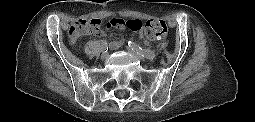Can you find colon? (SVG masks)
<instances>
[{
    "label": "colon",
    "mask_w": 255,
    "mask_h": 122,
    "mask_svg": "<svg viewBox=\"0 0 255 122\" xmlns=\"http://www.w3.org/2000/svg\"><path fill=\"white\" fill-rule=\"evenodd\" d=\"M102 26L99 19L76 20L69 28V36L75 40L82 33L96 32ZM113 27L127 28L133 31H144L148 37L154 39H164L167 35L168 28L166 23L161 19H112L106 22V28Z\"/></svg>",
    "instance_id": "obj_1"
}]
</instances>
